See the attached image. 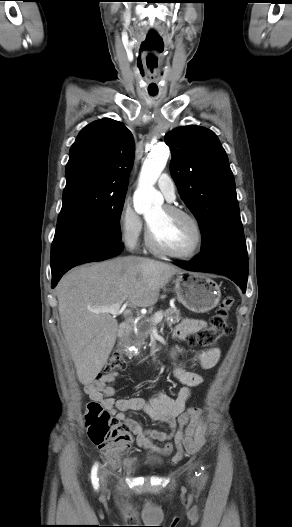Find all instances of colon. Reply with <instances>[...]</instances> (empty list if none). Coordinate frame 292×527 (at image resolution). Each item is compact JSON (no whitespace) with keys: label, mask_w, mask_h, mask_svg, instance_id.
<instances>
[{"label":"colon","mask_w":292,"mask_h":527,"mask_svg":"<svg viewBox=\"0 0 292 527\" xmlns=\"http://www.w3.org/2000/svg\"><path fill=\"white\" fill-rule=\"evenodd\" d=\"M233 299L226 297L210 319L208 327L190 336V343L202 347H212L219 339L231 333L228 317ZM127 362L119 352H115L104 367V375L125 370ZM85 424L91 442L106 453L120 457L132 444L129 427L116 419L99 401L88 403Z\"/></svg>","instance_id":"5ec220e1"}]
</instances>
